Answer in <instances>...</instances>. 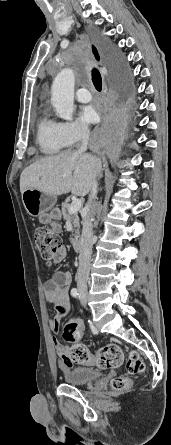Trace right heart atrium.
<instances>
[{
	"label": "right heart atrium",
	"mask_w": 171,
	"mask_h": 445,
	"mask_svg": "<svg viewBox=\"0 0 171 445\" xmlns=\"http://www.w3.org/2000/svg\"><path fill=\"white\" fill-rule=\"evenodd\" d=\"M61 135L67 145L76 144L89 136V129L78 121L59 122Z\"/></svg>",
	"instance_id": "right-heart-atrium-1"
}]
</instances>
